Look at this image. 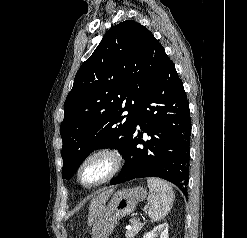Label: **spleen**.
I'll use <instances>...</instances> for the list:
<instances>
[{
    "instance_id": "1",
    "label": "spleen",
    "mask_w": 247,
    "mask_h": 238,
    "mask_svg": "<svg viewBox=\"0 0 247 238\" xmlns=\"http://www.w3.org/2000/svg\"><path fill=\"white\" fill-rule=\"evenodd\" d=\"M149 188L148 216L153 221H160L171 210L174 201V191L171 185L159 178L147 179Z\"/></svg>"
}]
</instances>
